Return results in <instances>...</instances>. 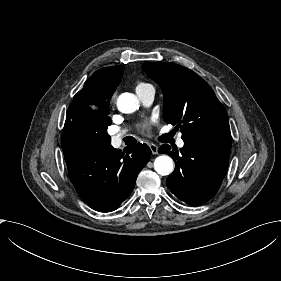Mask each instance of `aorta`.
<instances>
[{"label": "aorta", "instance_id": "aorta-1", "mask_svg": "<svg viewBox=\"0 0 281 281\" xmlns=\"http://www.w3.org/2000/svg\"><path fill=\"white\" fill-rule=\"evenodd\" d=\"M118 110L122 113L130 114L139 108V100L132 93H122L117 99ZM155 171L164 176L169 175L174 170V162L168 155H160L154 161Z\"/></svg>", "mask_w": 281, "mask_h": 281}]
</instances>
